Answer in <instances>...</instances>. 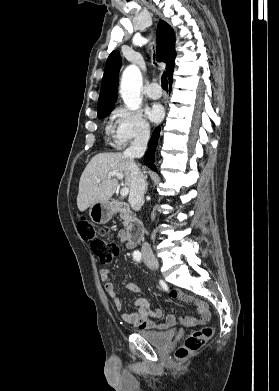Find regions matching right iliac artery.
<instances>
[{"mask_svg":"<svg viewBox=\"0 0 279 391\" xmlns=\"http://www.w3.org/2000/svg\"><path fill=\"white\" fill-rule=\"evenodd\" d=\"M133 258H134L137 262H140V261H141V253H140V251H138V250L134 251V253H133Z\"/></svg>","mask_w":279,"mask_h":391,"instance_id":"right-iliac-artery-1","label":"right iliac artery"}]
</instances>
